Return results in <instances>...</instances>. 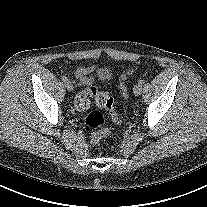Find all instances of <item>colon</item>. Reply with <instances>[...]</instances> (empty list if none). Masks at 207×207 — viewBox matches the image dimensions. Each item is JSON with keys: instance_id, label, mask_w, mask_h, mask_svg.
<instances>
[{"instance_id": "1", "label": "colon", "mask_w": 207, "mask_h": 207, "mask_svg": "<svg viewBox=\"0 0 207 207\" xmlns=\"http://www.w3.org/2000/svg\"><path fill=\"white\" fill-rule=\"evenodd\" d=\"M134 71L135 69H128L120 77L119 88L121 95L125 100L128 99V91L125 81ZM90 97L95 100L98 107L108 112L114 123L119 124L122 122V116L115 111L113 98L108 93L100 91L95 86L87 88L75 97L74 104L76 109L80 112L87 111L90 106ZM83 122L87 127L93 129L90 135V143L92 145H98L102 139L110 135V130L103 127L105 119L103 114L99 111L88 112L85 115Z\"/></svg>"}]
</instances>
